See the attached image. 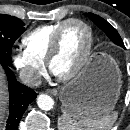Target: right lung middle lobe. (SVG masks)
Returning a JSON list of instances; mask_svg holds the SVG:
<instances>
[{"mask_svg": "<svg viewBox=\"0 0 130 130\" xmlns=\"http://www.w3.org/2000/svg\"><path fill=\"white\" fill-rule=\"evenodd\" d=\"M24 23L13 16L0 14V63L12 65L11 51L15 40L24 32Z\"/></svg>", "mask_w": 130, "mask_h": 130, "instance_id": "1", "label": "right lung middle lobe"}]
</instances>
